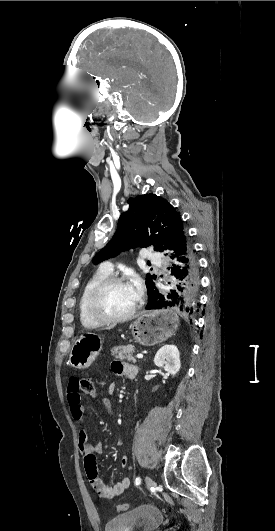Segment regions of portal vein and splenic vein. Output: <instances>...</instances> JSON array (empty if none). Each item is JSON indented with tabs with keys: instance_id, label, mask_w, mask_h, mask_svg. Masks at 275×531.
<instances>
[{
	"instance_id": "18ae733b",
	"label": "portal vein and splenic vein",
	"mask_w": 275,
	"mask_h": 531,
	"mask_svg": "<svg viewBox=\"0 0 275 531\" xmlns=\"http://www.w3.org/2000/svg\"><path fill=\"white\" fill-rule=\"evenodd\" d=\"M137 359H143V355H136Z\"/></svg>"
}]
</instances>
